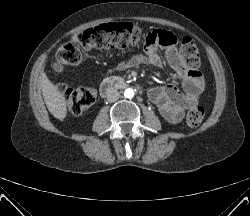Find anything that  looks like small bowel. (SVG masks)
<instances>
[{
    "instance_id": "small-bowel-1",
    "label": "small bowel",
    "mask_w": 250,
    "mask_h": 216,
    "mask_svg": "<svg viewBox=\"0 0 250 216\" xmlns=\"http://www.w3.org/2000/svg\"><path fill=\"white\" fill-rule=\"evenodd\" d=\"M175 44L176 37L172 33L163 30L153 31L143 39L144 52L122 61L117 68L125 70L140 64L163 66L164 61L159 51L161 48H165V62L181 78L182 91L173 82H170L151 88L148 95L163 118L170 123L180 122L185 111L199 103L204 89L202 75L198 71H190L183 66Z\"/></svg>"
}]
</instances>
